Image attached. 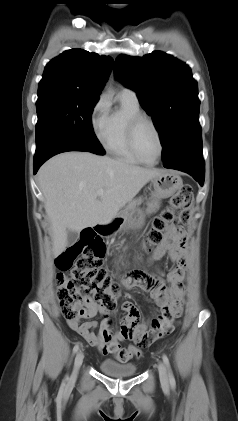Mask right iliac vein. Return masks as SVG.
Masks as SVG:
<instances>
[{
    "mask_svg": "<svg viewBox=\"0 0 238 421\" xmlns=\"http://www.w3.org/2000/svg\"><path fill=\"white\" fill-rule=\"evenodd\" d=\"M83 358H84L83 352L79 351L75 356L74 367H73V372L70 377V381H74L76 379L78 371L83 363Z\"/></svg>",
    "mask_w": 238,
    "mask_h": 421,
    "instance_id": "63e3f726",
    "label": "right iliac vein"
}]
</instances>
